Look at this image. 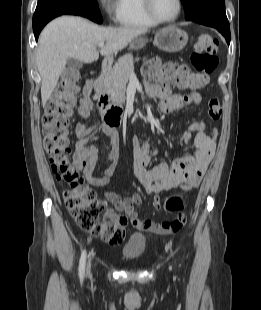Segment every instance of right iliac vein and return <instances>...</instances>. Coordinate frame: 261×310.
I'll return each instance as SVG.
<instances>
[{
	"instance_id": "obj_1",
	"label": "right iliac vein",
	"mask_w": 261,
	"mask_h": 310,
	"mask_svg": "<svg viewBox=\"0 0 261 310\" xmlns=\"http://www.w3.org/2000/svg\"><path fill=\"white\" fill-rule=\"evenodd\" d=\"M90 268H91V262H90V260H89L88 266H87V274H88V275L90 274Z\"/></svg>"
}]
</instances>
